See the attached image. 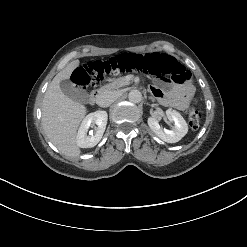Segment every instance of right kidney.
<instances>
[{
  "mask_svg": "<svg viewBox=\"0 0 247 247\" xmlns=\"http://www.w3.org/2000/svg\"><path fill=\"white\" fill-rule=\"evenodd\" d=\"M108 115L106 111H96L88 114L82 121L77 133V145L80 148H91L98 144L106 129ZM97 125L96 132L89 131L91 126ZM89 131V134H88Z\"/></svg>",
  "mask_w": 247,
  "mask_h": 247,
  "instance_id": "ca27d5eb",
  "label": "right kidney"
}]
</instances>
